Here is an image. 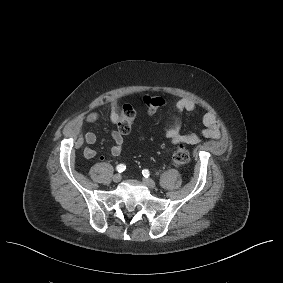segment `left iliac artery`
Returning a JSON list of instances; mask_svg holds the SVG:
<instances>
[{
    "label": "left iliac artery",
    "instance_id": "obj_1",
    "mask_svg": "<svg viewBox=\"0 0 283 283\" xmlns=\"http://www.w3.org/2000/svg\"><path fill=\"white\" fill-rule=\"evenodd\" d=\"M142 174H143V176H144L145 178H148L149 175H150L148 169H144V170L142 171Z\"/></svg>",
    "mask_w": 283,
    "mask_h": 283
}]
</instances>
